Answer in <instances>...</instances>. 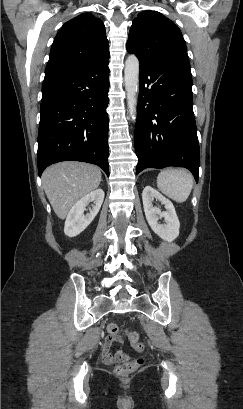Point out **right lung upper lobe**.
I'll return each mask as SVG.
<instances>
[{
    "mask_svg": "<svg viewBox=\"0 0 243 409\" xmlns=\"http://www.w3.org/2000/svg\"><path fill=\"white\" fill-rule=\"evenodd\" d=\"M106 55H109V45L103 22L90 13H83L58 31L45 77L84 68Z\"/></svg>",
    "mask_w": 243,
    "mask_h": 409,
    "instance_id": "cb5924a9",
    "label": "right lung upper lobe"
}]
</instances>
